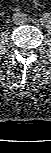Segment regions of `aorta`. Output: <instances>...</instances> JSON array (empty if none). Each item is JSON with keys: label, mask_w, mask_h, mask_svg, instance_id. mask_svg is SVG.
<instances>
[{"label": "aorta", "mask_w": 51, "mask_h": 153, "mask_svg": "<svg viewBox=\"0 0 51 153\" xmlns=\"http://www.w3.org/2000/svg\"><path fill=\"white\" fill-rule=\"evenodd\" d=\"M41 24L43 27L48 28L51 26V15L46 14L41 16Z\"/></svg>", "instance_id": "1"}]
</instances>
